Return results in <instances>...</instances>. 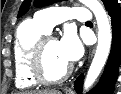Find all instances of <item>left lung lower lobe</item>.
Instances as JSON below:
<instances>
[{"label": "left lung lower lobe", "mask_w": 121, "mask_h": 94, "mask_svg": "<svg viewBox=\"0 0 121 94\" xmlns=\"http://www.w3.org/2000/svg\"><path fill=\"white\" fill-rule=\"evenodd\" d=\"M108 14L111 17L112 45L107 65L97 86L89 94H113L121 63V10L119 4L112 7ZM83 84V74L74 82L75 90L80 94Z\"/></svg>", "instance_id": "left-lung-lower-lobe-1"}]
</instances>
